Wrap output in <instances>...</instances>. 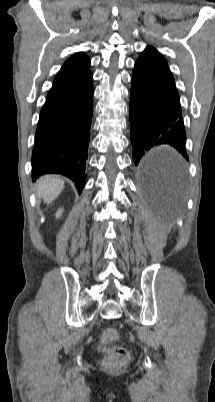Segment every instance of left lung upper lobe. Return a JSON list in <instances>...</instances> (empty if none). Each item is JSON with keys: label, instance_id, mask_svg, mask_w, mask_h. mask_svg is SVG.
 <instances>
[{"label": "left lung upper lobe", "instance_id": "left-lung-upper-lobe-1", "mask_svg": "<svg viewBox=\"0 0 215 402\" xmlns=\"http://www.w3.org/2000/svg\"><path fill=\"white\" fill-rule=\"evenodd\" d=\"M140 57L151 59L159 63L167 64L166 59L153 47L148 46L140 55Z\"/></svg>", "mask_w": 215, "mask_h": 402}]
</instances>
